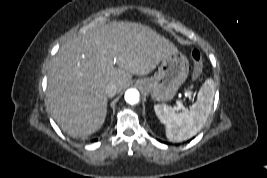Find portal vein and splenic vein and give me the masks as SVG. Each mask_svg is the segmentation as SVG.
<instances>
[{
	"instance_id": "1",
	"label": "portal vein and splenic vein",
	"mask_w": 267,
	"mask_h": 178,
	"mask_svg": "<svg viewBox=\"0 0 267 178\" xmlns=\"http://www.w3.org/2000/svg\"><path fill=\"white\" fill-rule=\"evenodd\" d=\"M176 104H177V107H176V108H177L178 110H180L181 108H183V105H182V103H181L180 101L177 100V101H176Z\"/></svg>"
}]
</instances>
